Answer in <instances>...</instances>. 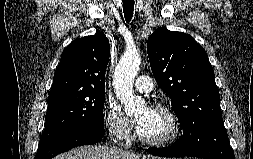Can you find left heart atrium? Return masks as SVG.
<instances>
[{
    "label": "left heart atrium",
    "instance_id": "39dd6f15",
    "mask_svg": "<svg viewBox=\"0 0 253 159\" xmlns=\"http://www.w3.org/2000/svg\"><path fill=\"white\" fill-rule=\"evenodd\" d=\"M143 119H144V118H139V119L136 120V125H137L138 128H140V127L142 126V124H143Z\"/></svg>",
    "mask_w": 253,
    "mask_h": 159
}]
</instances>
